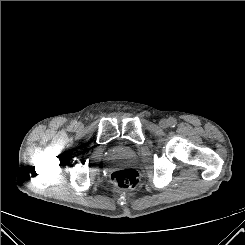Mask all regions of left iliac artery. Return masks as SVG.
I'll return each instance as SVG.
<instances>
[{
  "label": "left iliac artery",
  "mask_w": 245,
  "mask_h": 245,
  "mask_svg": "<svg viewBox=\"0 0 245 245\" xmlns=\"http://www.w3.org/2000/svg\"><path fill=\"white\" fill-rule=\"evenodd\" d=\"M176 124H177L176 119H174V118H170V119H169V125H170L171 127H175Z\"/></svg>",
  "instance_id": "obj_1"
}]
</instances>
